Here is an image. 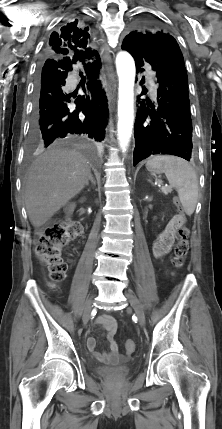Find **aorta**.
Masks as SVG:
<instances>
[{
    "label": "aorta",
    "mask_w": 222,
    "mask_h": 429,
    "mask_svg": "<svg viewBox=\"0 0 222 429\" xmlns=\"http://www.w3.org/2000/svg\"><path fill=\"white\" fill-rule=\"evenodd\" d=\"M116 68L119 78L118 100V141L125 152L129 146L134 124V83L135 63L127 52H120L116 57Z\"/></svg>",
    "instance_id": "obj_1"
}]
</instances>
